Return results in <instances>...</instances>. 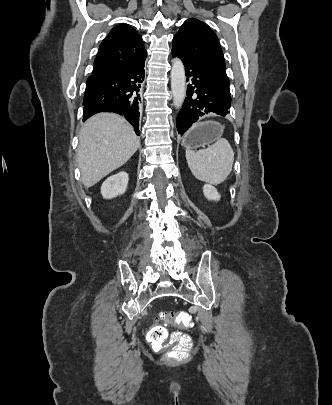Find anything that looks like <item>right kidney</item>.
<instances>
[{
  "mask_svg": "<svg viewBox=\"0 0 332 405\" xmlns=\"http://www.w3.org/2000/svg\"><path fill=\"white\" fill-rule=\"evenodd\" d=\"M128 174L119 172L107 178L101 186V194L105 199H112L125 193L128 185Z\"/></svg>",
  "mask_w": 332,
  "mask_h": 405,
  "instance_id": "1",
  "label": "right kidney"
}]
</instances>
